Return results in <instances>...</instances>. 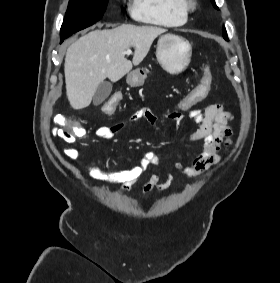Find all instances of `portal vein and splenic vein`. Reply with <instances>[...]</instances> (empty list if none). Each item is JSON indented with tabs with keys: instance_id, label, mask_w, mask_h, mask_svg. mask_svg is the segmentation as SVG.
<instances>
[{
	"instance_id": "portal-vein-and-splenic-vein-1",
	"label": "portal vein and splenic vein",
	"mask_w": 280,
	"mask_h": 283,
	"mask_svg": "<svg viewBox=\"0 0 280 283\" xmlns=\"http://www.w3.org/2000/svg\"><path fill=\"white\" fill-rule=\"evenodd\" d=\"M130 52H131V50H130V49H128L126 53H130Z\"/></svg>"
}]
</instances>
